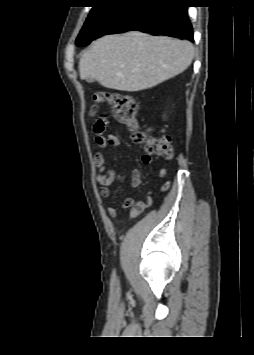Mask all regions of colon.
<instances>
[{
	"mask_svg": "<svg viewBox=\"0 0 254 355\" xmlns=\"http://www.w3.org/2000/svg\"><path fill=\"white\" fill-rule=\"evenodd\" d=\"M93 99L96 105L100 103L110 104L115 119L131 129L133 142L144 145L148 154L163 159H170L172 157V146L169 136L154 138L147 131L139 128L136 119V102L131 94L121 91L99 90L94 94ZM93 110H96V106ZM105 126L106 121L99 119L96 129L102 131ZM169 187L170 182L166 181L162 186V190H167Z\"/></svg>",
	"mask_w": 254,
	"mask_h": 355,
	"instance_id": "5ec220e1",
	"label": "colon"
}]
</instances>
